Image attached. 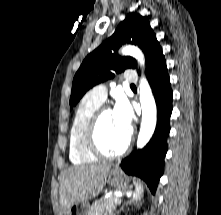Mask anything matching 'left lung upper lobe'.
<instances>
[{
  "label": "left lung upper lobe",
  "instance_id": "left-lung-upper-lobe-1",
  "mask_svg": "<svg viewBox=\"0 0 221 215\" xmlns=\"http://www.w3.org/2000/svg\"><path fill=\"white\" fill-rule=\"evenodd\" d=\"M126 43L138 45L146 58V69L162 49L149 21L138 13H130L116 28L114 34L90 53L76 72L70 97L71 108L93 86L114 77L128 68H136L132 57H120L117 50Z\"/></svg>",
  "mask_w": 221,
  "mask_h": 215
}]
</instances>
